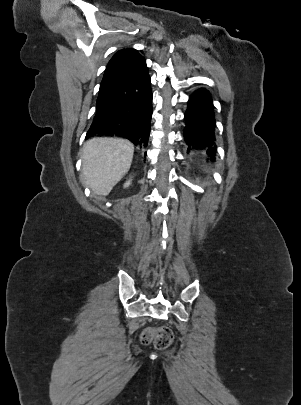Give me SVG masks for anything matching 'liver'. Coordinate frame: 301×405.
I'll list each match as a JSON object with an SVG mask.
<instances>
[{"label": "liver", "instance_id": "liver-1", "mask_svg": "<svg viewBox=\"0 0 301 405\" xmlns=\"http://www.w3.org/2000/svg\"><path fill=\"white\" fill-rule=\"evenodd\" d=\"M134 153L133 144L125 139L93 138L82 151V173L85 185L94 194L108 195L129 171Z\"/></svg>", "mask_w": 301, "mask_h": 405}]
</instances>
